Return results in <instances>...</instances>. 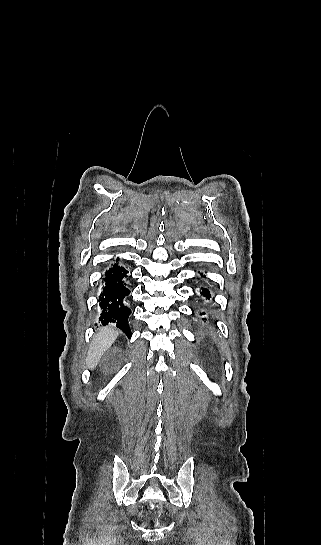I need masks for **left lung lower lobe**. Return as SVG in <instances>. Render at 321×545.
Returning a JSON list of instances; mask_svg holds the SVG:
<instances>
[{"instance_id": "left-lung-lower-lobe-1", "label": "left lung lower lobe", "mask_w": 321, "mask_h": 545, "mask_svg": "<svg viewBox=\"0 0 321 545\" xmlns=\"http://www.w3.org/2000/svg\"><path fill=\"white\" fill-rule=\"evenodd\" d=\"M201 275H202V274H201ZM201 295H203V296L206 297L207 299L210 298V293H209V291H208L206 288H202ZM201 314H203V313H201Z\"/></svg>"}]
</instances>
